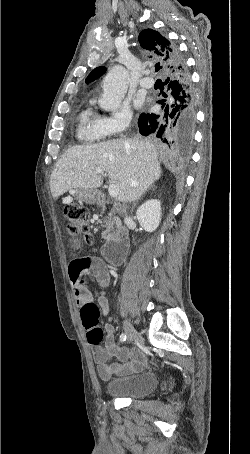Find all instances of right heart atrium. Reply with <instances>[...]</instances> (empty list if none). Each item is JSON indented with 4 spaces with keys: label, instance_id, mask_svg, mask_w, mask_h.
<instances>
[{
    "label": "right heart atrium",
    "instance_id": "obj_1",
    "mask_svg": "<svg viewBox=\"0 0 250 454\" xmlns=\"http://www.w3.org/2000/svg\"><path fill=\"white\" fill-rule=\"evenodd\" d=\"M132 114L127 107H121L109 116L100 117V127L104 136H116L128 129Z\"/></svg>",
    "mask_w": 250,
    "mask_h": 454
}]
</instances>
